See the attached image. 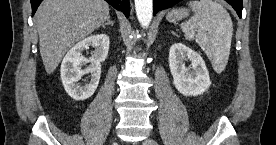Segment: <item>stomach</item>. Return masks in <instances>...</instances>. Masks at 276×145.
<instances>
[{
	"instance_id": "1",
	"label": "stomach",
	"mask_w": 276,
	"mask_h": 145,
	"mask_svg": "<svg viewBox=\"0 0 276 145\" xmlns=\"http://www.w3.org/2000/svg\"><path fill=\"white\" fill-rule=\"evenodd\" d=\"M189 15V11L185 8H179V9H173L171 10L166 18L170 22H176L179 21Z\"/></svg>"
}]
</instances>
